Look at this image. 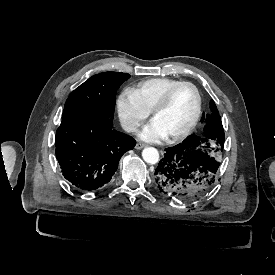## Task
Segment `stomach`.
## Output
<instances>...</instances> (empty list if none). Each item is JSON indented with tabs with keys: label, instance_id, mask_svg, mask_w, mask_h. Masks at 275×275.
<instances>
[{
	"label": "stomach",
	"instance_id": "stomach-1",
	"mask_svg": "<svg viewBox=\"0 0 275 275\" xmlns=\"http://www.w3.org/2000/svg\"><path fill=\"white\" fill-rule=\"evenodd\" d=\"M201 144L196 140L189 141L180 151L179 167L184 171L191 170L200 159Z\"/></svg>",
	"mask_w": 275,
	"mask_h": 275
}]
</instances>
